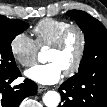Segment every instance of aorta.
<instances>
[{"label": "aorta", "mask_w": 107, "mask_h": 107, "mask_svg": "<svg viewBox=\"0 0 107 107\" xmlns=\"http://www.w3.org/2000/svg\"><path fill=\"white\" fill-rule=\"evenodd\" d=\"M45 57L44 52H40L38 54V59L39 61H43ZM60 94L56 91H48L44 97H43V102L47 107H57L60 103Z\"/></svg>", "instance_id": "obj_1"}]
</instances>
